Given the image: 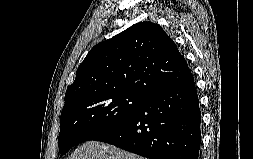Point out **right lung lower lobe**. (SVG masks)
<instances>
[{"instance_id": "right-lung-lower-lobe-1", "label": "right lung lower lobe", "mask_w": 253, "mask_h": 159, "mask_svg": "<svg viewBox=\"0 0 253 159\" xmlns=\"http://www.w3.org/2000/svg\"><path fill=\"white\" fill-rule=\"evenodd\" d=\"M201 113L192 74L148 95L127 119L92 140L150 159H198Z\"/></svg>"}]
</instances>
